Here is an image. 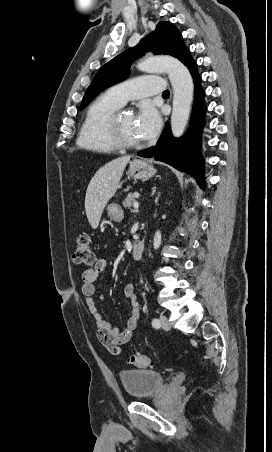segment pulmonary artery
Instances as JSON below:
<instances>
[{
  "mask_svg": "<svg viewBox=\"0 0 272 452\" xmlns=\"http://www.w3.org/2000/svg\"><path fill=\"white\" fill-rule=\"evenodd\" d=\"M164 91V80L159 77H137L109 89V93L122 105L129 100L142 99Z\"/></svg>",
  "mask_w": 272,
  "mask_h": 452,
  "instance_id": "pulmonary-artery-1",
  "label": "pulmonary artery"
}]
</instances>
